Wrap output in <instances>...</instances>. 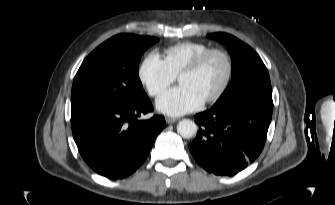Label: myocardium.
Returning a JSON list of instances; mask_svg holds the SVG:
<instances>
[{
	"label": "myocardium",
	"instance_id": "1",
	"mask_svg": "<svg viewBox=\"0 0 335 205\" xmlns=\"http://www.w3.org/2000/svg\"><path fill=\"white\" fill-rule=\"evenodd\" d=\"M213 55H220L223 57L226 63V75L225 78L220 86V88L217 90L215 94L210 96L209 98L204 100V103L211 104L215 103L218 100H220L223 95L226 93L227 89L229 88V85L231 83L233 72H234V66L233 61L230 57V55L223 49L219 48H211L201 55H199L193 62H191L187 67H185L178 75V80L185 75H190L198 72L204 64L207 62V60L213 56Z\"/></svg>",
	"mask_w": 335,
	"mask_h": 205
}]
</instances>
